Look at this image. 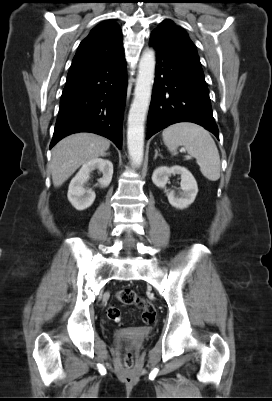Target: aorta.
Here are the masks:
<instances>
[{
	"mask_svg": "<svg viewBox=\"0 0 272 401\" xmlns=\"http://www.w3.org/2000/svg\"><path fill=\"white\" fill-rule=\"evenodd\" d=\"M155 64L154 50L147 49L139 61L134 99L128 114L127 146L130 159L135 166H140L143 161L144 123L151 99Z\"/></svg>",
	"mask_w": 272,
	"mask_h": 401,
	"instance_id": "1",
	"label": "aorta"
}]
</instances>
